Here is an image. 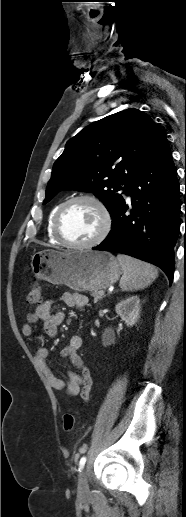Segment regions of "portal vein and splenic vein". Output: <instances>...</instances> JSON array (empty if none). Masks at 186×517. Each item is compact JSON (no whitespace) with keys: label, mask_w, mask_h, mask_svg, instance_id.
<instances>
[{"label":"portal vein and splenic vein","mask_w":186,"mask_h":517,"mask_svg":"<svg viewBox=\"0 0 186 517\" xmlns=\"http://www.w3.org/2000/svg\"><path fill=\"white\" fill-rule=\"evenodd\" d=\"M99 294H100V295H104V294H105V292H104V291H99Z\"/></svg>","instance_id":"18ae733b"}]
</instances>
